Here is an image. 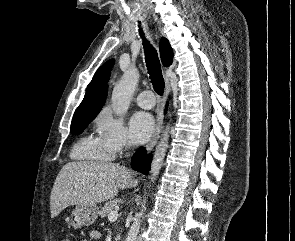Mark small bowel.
I'll use <instances>...</instances> for the list:
<instances>
[{
	"label": "small bowel",
	"mask_w": 295,
	"mask_h": 241,
	"mask_svg": "<svg viewBox=\"0 0 295 241\" xmlns=\"http://www.w3.org/2000/svg\"><path fill=\"white\" fill-rule=\"evenodd\" d=\"M100 232L93 230L89 233V239H84L83 241H90V240H98L100 238ZM64 241H69V240H64Z\"/></svg>",
	"instance_id": "obj_1"
}]
</instances>
